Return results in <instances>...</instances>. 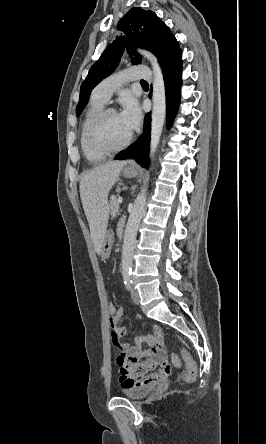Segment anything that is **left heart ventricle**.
Returning <instances> with one entry per match:
<instances>
[{
	"mask_svg": "<svg viewBox=\"0 0 266 444\" xmlns=\"http://www.w3.org/2000/svg\"><path fill=\"white\" fill-rule=\"evenodd\" d=\"M131 131L128 129L119 113L108 114L97 126L94 140L102 147H116L121 145Z\"/></svg>",
	"mask_w": 266,
	"mask_h": 444,
	"instance_id": "obj_1",
	"label": "left heart ventricle"
}]
</instances>
